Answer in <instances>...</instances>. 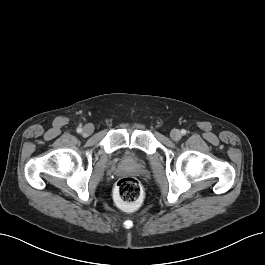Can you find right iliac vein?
I'll list each match as a JSON object with an SVG mask.
<instances>
[{"label":"right iliac vein","mask_w":265,"mask_h":265,"mask_svg":"<svg viewBox=\"0 0 265 265\" xmlns=\"http://www.w3.org/2000/svg\"><path fill=\"white\" fill-rule=\"evenodd\" d=\"M93 131H94L93 125L87 124L83 128V135L84 136H89V135H91L93 133Z\"/></svg>","instance_id":"1"}]
</instances>
